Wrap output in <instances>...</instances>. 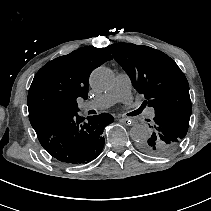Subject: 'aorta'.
<instances>
[{
  "label": "aorta",
  "instance_id": "762f6f07",
  "mask_svg": "<svg viewBox=\"0 0 211 211\" xmlns=\"http://www.w3.org/2000/svg\"><path fill=\"white\" fill-rule=\"evenodd\" d=\"M114 81L113 72L106 67H98L90 76V85L97 91H104L111 87ZM130 137L136 141L141 142L150 136L149 129L142 124H135L130 129Z\"/></svg>",
  "mask_w": 211,
  "mask_h": 211
}]
</instances>
